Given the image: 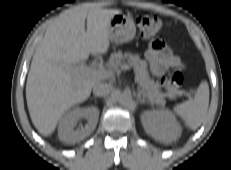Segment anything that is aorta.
<instances>
[{
    "label": "aorta",
    "mask_w": 231,
    "mask_h": 170,
    "mask_svg": "<svg viewBox=\"0 0 231 170\" xmlns=\"http://www.w3.org/2000/svg\"><path fill=\"white\" fill-rule=\"evenodd\" d=\"M118 102L122 105H129L132 102V96L129 93H121L118 95Z\"/></svg>",
    "instance_id": "762f6f07"
}]
</instances>
